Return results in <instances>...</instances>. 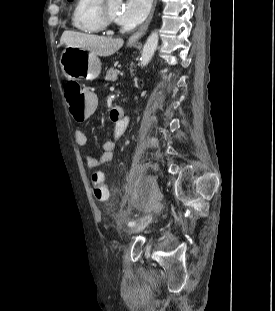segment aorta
I'll use <instances>...</instances> for the list:
<instances>
[{
  "mask_svg": "<svg viewBox=\"0 0 275 311\" xmlns=\"http://www.w3.org/2000/svg\"><path fill=\"white\" fill-rule=\"evenodd\" d=\"M118 1L121 2L122 0H118ZM158 41H159V37H158L157 31L152 32L151 35L148 37L142 50V54L140 58L142 67L146 66L152 59L154 52L158 46Z\"/></svg>",
  "mask_w": 275,
  "mask_h": 311,
  "instance_id": "obj_1",
  "label": "aorta"
}]
</instances>
